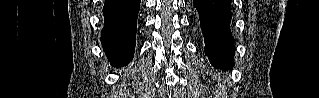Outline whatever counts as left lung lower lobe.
<instances>
[{
	"label": "left lung lower lobe",
	"mask_w": 319,
	"mask_h": 98,
	"mask_svg": "<svg viewBox=\"0 0 319 98\" xmlns=\"http://www.w3.org/2000/svg\"><path fill=\"white\" fill-rule=\"evenodd\" d=\"M211 64L223 71L234 66V42L230 29L231 0H193Z\"/></svg>",
	"instance_id": "1"
}]
</instances>
